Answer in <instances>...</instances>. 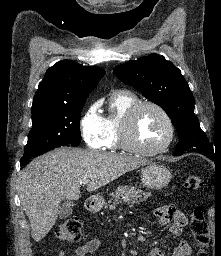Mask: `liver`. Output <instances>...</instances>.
<instances>
[{
  "label": "liver",
  "instance_id": "obj_1",
  "mask_svg": "<svg viewBox=\"0 0 221 256\" xmlns=\"http://www.w3.org/2000/svg\"><path fill=\"white\" fill-rule=\"evenodd\" d=\"M151 161L116 153L61 147L30 162L20 173L18 192L31 224L32 238L39 242L54 226L62 200H78L80 186L89 179L87 191L107 185L123 174Z\"/></svg>",
  "mask_w": 221,
  "mask_h": 256
}]
</instances>
